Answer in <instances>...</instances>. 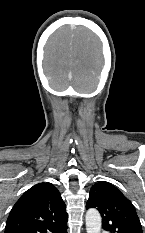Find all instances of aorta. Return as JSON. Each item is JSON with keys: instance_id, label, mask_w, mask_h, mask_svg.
I'll return each instance as SVG.
<instances>
[{"instance_id": "1", "label": "aorta", "mask_w": 145, "mask_h": 233, "mask_svg": "<svg viewBox=\"0 0 145 233\" xmlns=\"http://www.w3.org/2000/svg\"><path fill=\"white\" fill-rule=\"evenodd\" d=\"M86 232L87 233H100L101 232V216L96 209H89L86 212Z\"/></svg>"}]
</instances>
